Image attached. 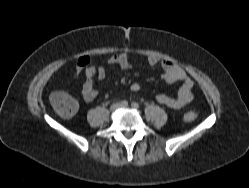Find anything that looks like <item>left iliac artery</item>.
<instances>
[{
    "label": "left iliac artery",
    "instance_id": "left-iliac-artery-1",
    "mask_svg": "<svg viewBox=\"0 0 249 188\" xmlns=\"http://www.w3.org/2000/svg\"><path fill=\"white\" fill-rule=\"evenodd\" d=\"M131 106H132L134 109H138V108H139V104L136 103V102H132V103H131Z\"/></svg>",
    "mask_w": 249,
    "mask_h": 188
}]
</instances>
